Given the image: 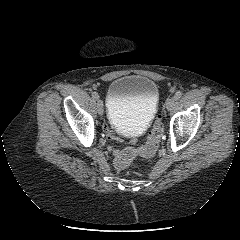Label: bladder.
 I'll return each instance as SVG.
<instances>
[{
	"instance_id": "bladder-1",
	"label": "bladder",
	"mask_w": 240,
	"mask_h": 240,
	"mask_svg": "<svg viewBox=\"0 0 240 240\" xmlns=\"http://www.w3.org/2000/svg\"><path fill=\"white\" fill-rule=\"evenodd\" d=\"M159 105L155 81L141 75L122 76L111 82L107 92L108 119L124 134L138 135L154 119Z\"/></svg>"
}]
</instances>
